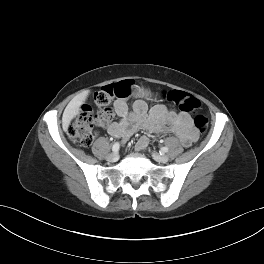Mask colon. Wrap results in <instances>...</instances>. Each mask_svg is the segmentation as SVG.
I'll list each match as a JSON object with an SVG mask.
<instances>
[{"label": "colon", "instance_id": "colon-1", "mask_svg": "<svg viewBox=\"0 0 264 264\" xmlns=\"http://www.w3.org/2000/svg\"><path fill=\"white\" fill-rule=\"evenodd\" d=\"M131 93L132 83L128 80L108 85L100 90L95 96V104L99 110L94 113L89 106H82L68 127L70 139L81 146L90 145L95 136V129L108 124L113 117L109 106L111 100L127 98ZM163 96L181 111L195 114L194 125L198 132L204 133L207 130L208 119L201 113V103L196 97L180 90L165 91Z\"/></svg>", "mask_w": 264, "mask_h": 264}]
</instances>
